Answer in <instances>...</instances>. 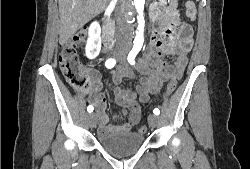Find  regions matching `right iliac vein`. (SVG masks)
<instances>
[{
	"mask_svg": "<svg viewBox=\"0 0 250 169\" xmlns=\"http://www.w3.org/2000/svg\"><path fill=\"white\" fill-rule=\"evenodd\" d=\"M88 122L90 127H94L96 125L97 117L95 113L88 114Z\"/></svg>",
	"mask_w": 250,
	"mask_h": 169,
	"instance_id": "1",
	"label": "right iliac vein"
}]
</instances>
